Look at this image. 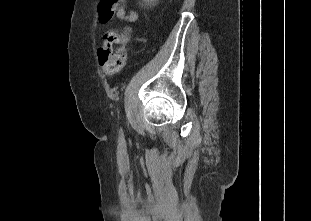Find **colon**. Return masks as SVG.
<instances>
[{"label": "colon", "mask_w": 311, "mask_h": 221, "mask_svg": "<svg viewBox=\"0 0 311 221\" xmlns=\"http://www.w3.org/2000/svg\"><path fill=\"white\" fill-rule=\"evenodd\" d=\"M122 0H104L100 3L97 22H109V17H117ZM129 29L124 31H106L103 45L99 48V57L107 77H113L124 67L125 48L129 41Z\"/></svg>", "instance_id": "5ec220e1"}]
</instances>
